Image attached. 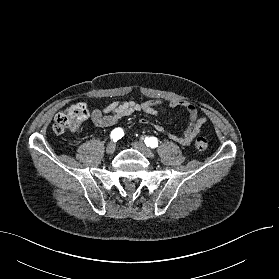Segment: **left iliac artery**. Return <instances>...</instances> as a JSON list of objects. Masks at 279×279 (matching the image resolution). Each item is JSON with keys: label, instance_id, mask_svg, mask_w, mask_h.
Wrapping results in <instances>:
<instances>
[{"label": "left iliac artery", "instance_id": "left-iliac-artery-1", "mask_svg": "<svg viewBox=\"0 0 279 279\" xmlns=\"http://www.w3.org/2000/svg\"><path fill=\"white\" fill-rule=\"evenodd\" d=\"M144 142L148 147H151V148H156L158 146L157 138H155L153 136L146 137L144 139Z\"/></svg>", "mask_w": 279, "mask_h": 279}]
</instances>
